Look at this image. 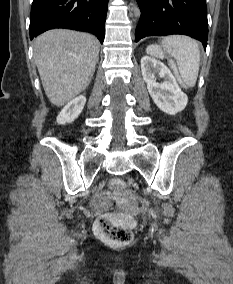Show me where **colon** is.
Returning <instances> with one entry per match:
<instances>
[{
  "label": "colon",
  "instance_id": "1",
  "mask_svg": "<svg viewBox=\"0 0 233 284\" xmlns=\"http://www.w3.org/2000/svg\"><path fill=\"white\" fill-rule=\"evenodd\" d=\"M149 56L157 59H166L169 67L174 72L178 82L186 87L185 82L180 77L175 62L166 56L162 48L158 45H150L147 48ZM110 188L113 195L120 200L127 198L125 188L126 184L121 178H114L110 181ZM130 206H136V202H128ZM129 220L120 214L109 213L100 216L95 224L96 233L105 240L114 244H128L133 239V233L129 226Z\"/></svg>",
  "mask_w": 233,
  "mask_h": 284
}]
</instances>
